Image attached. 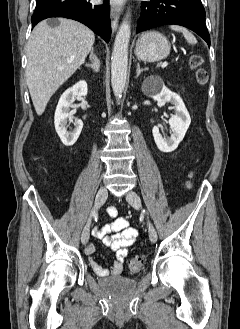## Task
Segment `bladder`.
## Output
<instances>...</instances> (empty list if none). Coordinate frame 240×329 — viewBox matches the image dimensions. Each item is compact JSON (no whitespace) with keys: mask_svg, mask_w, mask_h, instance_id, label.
I'll use <instances>...</instances> for the list:
<instances>
[{"mask_svg":"<svg viewBox=\"0 0 240 329\" xmlns=\"http://www.w3.org/2000/svg\"><path fill=\"white\" fill-rule=\"evenodd\" d=\"M99 285L108 294L114 297H123L136 288V280L134 278L124 276H111L101 279Z\"/></svg>","mask_w":240,"mask_h":329,"instance_id":"31cf9c89","label":"bladder"}]
</instances>
